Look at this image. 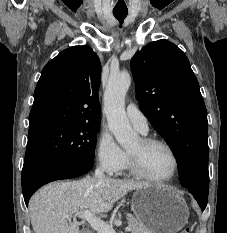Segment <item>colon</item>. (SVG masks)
Returning <instances> with one entry per match:
<instances>
[{
  "instance_id": "colon-1",
  "label": "colon",
  "mask_w": 227,
  "mask_h": 233,
  "mask_svg": "<svg viewBox=\"0 0 227 233\" xmlns=\"http://www.w3.org/2000/svg\"><path fill=\"white\" fill-rule=\"evenodd\" d=\"M179 233H191V230L189 228H183L179 231Z\"/></svg>"
}]
</instances>
